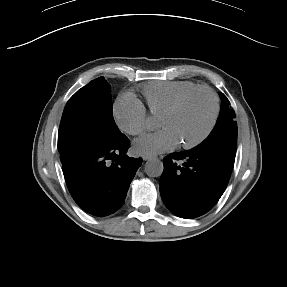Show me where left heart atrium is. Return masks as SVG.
<instances>
[{
  "label": "left heart atrium",
  "instance_id": "39dd6f15",
  "mask_svg": "<svg viewBox=\"0 0 287 287\" xmlns=\"http://www.w3.org/2000/svg\"><path fill=\"white\" fill-rule=\"evenodd\" d=\"M179 143L176 135L169 128L145 135L134 143L135 149L147 155H155L174 148Z\"/></svg>",
  "mask_w": 287,
  "mask_h": 287
}]
</instances>
